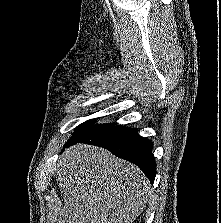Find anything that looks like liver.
<instances>
[{
    "instance_id": "6515ba94",
    "label": "liver",
    "mask_w": 221,
    "mask_h": 223,
    "mask_svg": "<svg viewBox=\"0 0 221 223\" xmlns=\"http://www.w3.org/2000/svg\"><path fill=\"white\" fill-rule=\"evenodd\" d=\"M57 181L64 206L54 210V223H132L151 196L137 166L87 144L62 153Z\"/></svg>"
}]
</instances>
